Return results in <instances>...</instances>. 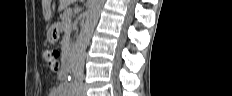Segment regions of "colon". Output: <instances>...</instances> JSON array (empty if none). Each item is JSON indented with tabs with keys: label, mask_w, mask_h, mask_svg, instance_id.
Segmentation results:
<instances>
[{
	"label": "colon",
	"mask_w": 232,
	"mask_h": 96,
	"mask_svg": "<svg viewBox=\"0 0 232 96\" xmlns=\"http://www.w3.org/2000/svg\"><path fill=\"white\" fill-rule=\"evenodd\" d=\"M46 59L50 65H58L60 53L56 49L47 50L45 53Z\"/></svg>",
	"instance_id": "1"
}]
</instances>
